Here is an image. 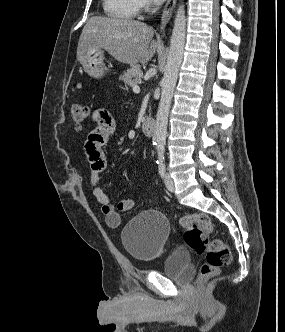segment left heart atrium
I'll return each instance as SVG.
<instances>
[{
	"label": "left heart atrium",
	"instance_id": "left-heart-atrium-1",
	"mask_svg": "<svg viewBox=\"0 0 285 332\" xmlns=\"http://www.w3.org/2000/svg\"><path fill=\"white\" fill-rule=\"evenodd\" d=\"M154 1L159 3V2H163L164 0H154Z\"/></svg>",
	"mask_w": 285,
	"mask_h": 332
}]
</instances>
